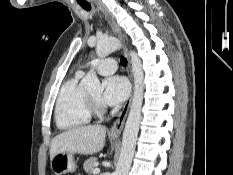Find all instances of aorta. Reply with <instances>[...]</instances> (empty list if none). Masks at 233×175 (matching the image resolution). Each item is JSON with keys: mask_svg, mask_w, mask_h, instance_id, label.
Here are the masks:
<instances>
[{"mask_svg": "<svg viewBox=\"0 0 233 175\" xmlns=\"http://www.w3.org/2000/svg\"><path fill=\"white\" fill-rule=\"evenodd\" d=\"M120 47L121 43L116 38L99 40L96 46V54L98 57L103 58L108 56L110 53L116 51ZM130 58L134 77V94L123 132L121 154L113 175L128 174L135 152L139 125L141 121V108L143 103L144 91V74L142 70L141 60L136 52L131 51ZM82 84L84 85V88L89 92L102 90L100 81L94 70H90L88 72V74L83 78Z\"/></svg>", "mask_w": 233, "mask_h": 175, "instance_id": "aorta-1", "label": "aorta"}]
</instances>
